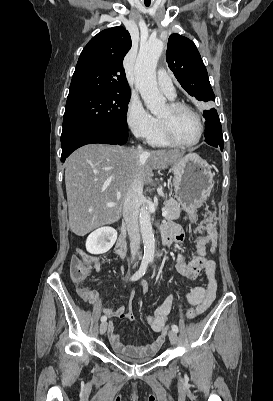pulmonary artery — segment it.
I'll return each mask as SVG.
<instances>
[{
	"mask_svg": "<svg viewBox=\"0 0 273 401\" xmlns=\"http://www.w3.org/2000/svg\"><path fill=\"white\" fill-rule=\"evenodd\" d=\"M158 74L160 76V82L158 83V86L162 89V91L167 95L168 98H175L176 83L175 81L171 80V76L168 74L167 69H159Z\"/></svg>",
	"mask_w": 273,
	"mask_h": 401,
	"instance_id": "1",
	"label": "pulmonary artery"
}]
</instances>
